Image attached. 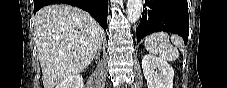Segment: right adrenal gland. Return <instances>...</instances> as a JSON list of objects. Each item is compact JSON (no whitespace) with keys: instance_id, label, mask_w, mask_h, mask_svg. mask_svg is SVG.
Returning a JSON list of instances; mask_svg holds the SVG:
<instances>
[{"instance_id":"2a0ac1e0","label":"right adrenal gland","mask_w":227,"mask_h":88,"mask_svg":"<svg viewBox=\"0 0 227 88\" xmlns=\"http://www.w3.org/2000/svg\"><path fill=\"white\" fill-rule=\"evenodd\" d=\"M100 57V51L97 52V54L95 55L94 59H99Z\"/></svg>"}]
</instances>
